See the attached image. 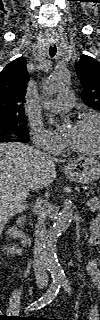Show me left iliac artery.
Returning a JSON list of instances; mask_svg holds the SVG:
<instances>
[{"instance_id":"44dca946","label":"left iliac artery","mask_w":100,"mask_h":320,"mask_svg":"<svg viewBox=\"0 0 100 320\" xmlns=\"http://www.w3.org/2000/svg\"><path fill=\"white\" fill-rule=\"evenodd\" d=\"M62 286L65 288V290L71 294V287L68 279L61 280Z\"/></svg>"}]
</instances>
